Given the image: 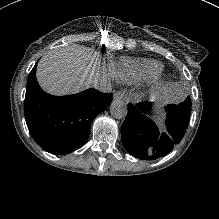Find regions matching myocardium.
<instances>
[{
	"label": "myocardium",
	"instance_id": "myocardium-1",
	"mask_svg": "<svg viewBox=\"0 0 219 219\" xmlns=\"http://www.w3.org/2000/svg\"><path fill=\"white\" fill-rule=\"evenodd\" d=\"M162 83V71L157 73L149 82H147V85L153 89L157 88Z\"/></svg>",
	"mask_w": 219,
	"mask_h": 219
}]
</instances>
